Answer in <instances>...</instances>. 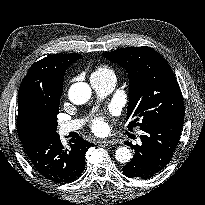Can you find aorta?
<instances>
[{
  "label": "aorta",
  "instance_id": "762f6f07",
  "mask_svg": "<svg viewBox=\"0 0 205 205\" xmlns=\"http://www.w3.org/2000/svg\"><path fill=\"white\" fill-rule=\"evenodd\" d=\"M91 87L84 82L74 83L68 92L69 99L76 105L85 104L91 97ZM115 158L120 163H128L131 158V150L127 147H119L115 151Z\"/></svg>",
  "mask_w": 205,
  "mask_h": 205
}]
</instances>
